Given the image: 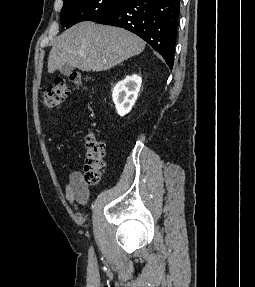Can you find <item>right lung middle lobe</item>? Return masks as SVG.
I'll return each instance as SVG.
<instances>
[{"mask_svg":"<svg viewBox=\"0 0 255 287\" xmlns=\"http://www.w3.org/2000/svg\"><path fill=\"white\" fill-rule=\"evenodd\" d=\"M125 0H63L61 25L71 27L81 21H92L104 11L111 9Z\"/></svg>","mask_w":255,"mask_h":287,"instance_id":"right-lung-middle-lobe-1","label":"right lung middle lobe"}]
</instances>
